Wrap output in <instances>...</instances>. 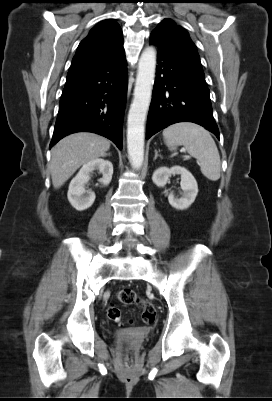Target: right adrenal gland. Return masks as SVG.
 I'll list each match as a JSON object with an SVG mask.
<instances>
[{
	"instance_id": "2a0ac1e0",
	"label": "right adrenal gland",
	"mask_w": 272,
	"mask_h": 401,
	"mask_svg": "<svg viewBox=\"0 0 272 401\" xmlns=\"http://www.w3.org/2000/svg\"><path fill=\"white\" fill-rule=\"evenodd\" d=\"M110 155H111V153H107V154H106V156H110Z\"/></svg>"
}]
</instances>
